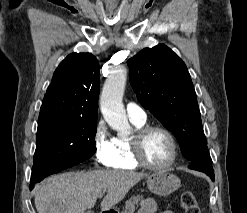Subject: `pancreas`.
Masks as SVG:
<instances>
[{"mask_svg": "<svg viewBox=\"0 0 247 213\" xmlns=\"http://www.w3.org/2000/svg\"><path fill=\"white\" fill-rule=\"evenodd\" d=\"M143 199L142 196H132L125 203V208L121 213H134L136 208L138 207L139 201Z\"/></svg>", "mask_w": 247, "mask_h": 213, "instance_id": "1", "label": "pancreas"}]
</instances>
